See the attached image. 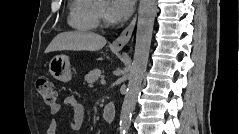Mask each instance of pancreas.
<instances>
[{
    "label": "pancreas",
    "instance_id": "obj_1",
    "mask_svg": "<svg viewBox=\"0 0 239 134\" xmlns=\"http://www.w3.org/2000/svg\"><path fill=\"white\" fill-rule=\"evenodd\" d=\"M101 73L102 72L100 69H94L85 76V81L89 84H93L99 79V77L101 76Z\"/></svg>",
    "mask_w": 239,
    "mask_h": 134
}]
</instances>
